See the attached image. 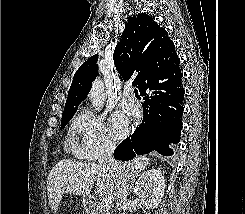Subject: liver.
<instances>
[{"mask_svg": "<svg viewBox=\"0 0 245 214\" xmlns=\"http://www.w3.org/2000/svg\"><path fill=\"white\" fill-rule=\"evenodd\" d=\"M124 175L135 179L149 164L146 157H136L131 161L120 163ZM121 175L93 162H81L63 159L49 172L47 177V194L51 211L56 214L64 193L87 196L96 182L99 196L117 199L118 183Z\"/></svg>", "mask_w": 245, "mask_h": 214, "instance_id": "obj_1", "label": "liver"}]
</instances>
